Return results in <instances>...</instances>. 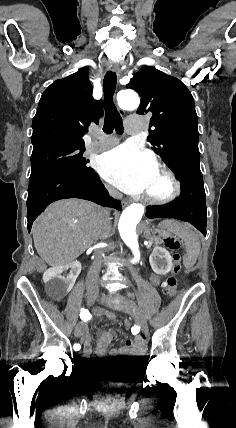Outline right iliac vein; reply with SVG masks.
<instances>
[{"label":"right iliac vein","instance_id":"1","mask_svg":"<svg viewBox=\"0 0 236 428\" xmlns=\"http://www.w3.org/2000/svg\"><path fill=\"white\" fill-rule=\"evenodd\" d=\"M96 300H97V298H96V296L94 294H87L85 296V301H86L87 305L95 306ZM86 340H87L86 336L81 337L80 338V344H83V342L86 341Z\"/></svg>","mask_w":236,"mask_h":428}]
</instances>
